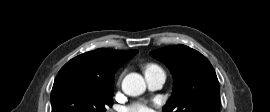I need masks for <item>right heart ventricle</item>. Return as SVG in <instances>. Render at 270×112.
<instances>
[{"label":"right heart ventricle","mask_w":270,"mask_h":112,"mask_svg":"<svg viewBox=\"0 0 270 112\" xmlns=\"http://www.w3.org/2000/svg\"><path fill=\"white\" fill-rule=\"evenodd\" d=\"M155 69H160L157 65L155 64H148L146 67H145V72L149 71V70H155Z\"/></svg>","instance_id":"1"}]
</instances>
